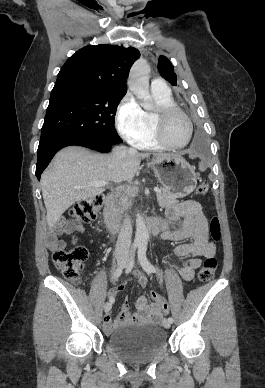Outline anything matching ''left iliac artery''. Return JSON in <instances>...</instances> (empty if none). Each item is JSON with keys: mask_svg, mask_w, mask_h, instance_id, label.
<instances>
[{"mask_svg": "<svg viewBox=\"0 0 265 388\" xmlns=\"http://www.w3.org/2000/svg\"><path fill=\"white\" fill-rule=\"evenodd\" d=\"M146 250H147L146 245L142 244V245L139 246V249H138V259H139V262H140L141 266L143 267V269L147 273H159L157 268H155L151 264V262L148 260V258L146 256ZM168 321L172 324L173 323V318L169 317Z\"/></svg>", "mask_w": 265, "mask_h": 388, "instance_id": "44dca946", "label": "left iliac artery"}]
</instances>
